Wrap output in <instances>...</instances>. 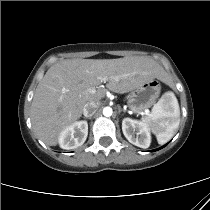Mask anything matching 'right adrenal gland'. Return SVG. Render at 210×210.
<instances>
[{"label": "right adrenal gland", "mask_w": 210, "mask_h": 210, "mask_svg": "<svg viewBox=\"0 0 210 210\" xmlns=\"http://www.w3.org/2000/svg\"><path fill=\"white\" fill-rule=\"evenodd\" d=\"M84 118L91 119V116H89V117H86V116H85Z\"/></svg>", "instance_id": "2a0ac1e0"}]
</instances>
